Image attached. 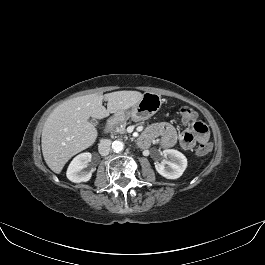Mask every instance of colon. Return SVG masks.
<instances>
[{
  "label": "colon",
  "instance_id": "1",
  "mask_svg": "<svg viewBox=\"0 0 265 265\" xmlns=\"http://www.w3.org/2000/svg\"><path fill=\"white\" fill-rule=\"evenodd\" d=\"M180 113L182 115V118L185 121H194V120H196V117H197L196 112L192 108H190L188 106H182L181 109H180ZM210 150H211V145L208 144V143H204V144H201L197 148V154L198 155H205Z\"/></svg>",
  "mask_w": 265,
  "mask_h": 265
}]
</instances>
